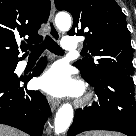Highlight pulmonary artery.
<instances>
[{"mask_svg": "<svg viewBox=\"0 0 136 136\" xmlns=\"http://www.w3.org/2000/svg\"><path fill=\"white\" fill-rule=\"evenodd\" d=\"M62 47L64 50H67V51H75L78 49V43H77L76 39L73 37H65L62 40ZM21 64H22V66H25L26 61H23Z\"/></svg>", "mask_w": 136, "mask_h": 136, "instance_id": "pulmonary-artery-1", "label": "pulmonary artery"}]
</instances>
